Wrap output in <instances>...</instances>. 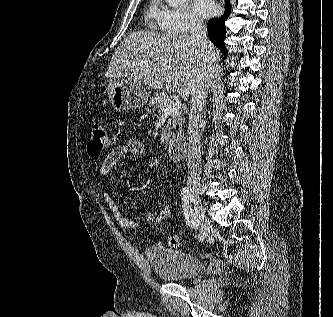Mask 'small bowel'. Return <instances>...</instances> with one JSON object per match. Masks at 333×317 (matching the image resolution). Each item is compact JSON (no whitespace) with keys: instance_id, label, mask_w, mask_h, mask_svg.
Segmentation results:
<instances>
[{"instance_id":"1","label":"small bowel","mask_w":333,"mask_h":317,"mask_svg":"<svg viewBox=\"0 0 333 317\" xmlns=\"http://www.w3.org/2000/svg\"><path fill=\"white\" fill-rule=\"evenodd\" d=\"M144 144L140 139L130 138L125 143L114 147L103 159L99 168L100 189L103 199L108 206L114 220L123 228L134 230L141 226L140 221L133 220L122 214L118 204L108 185V176L114 166L128 157H139L144 154ZM154 220V212L146 215L145 221L152 222Z\"/></svg>"}]
</instances>
